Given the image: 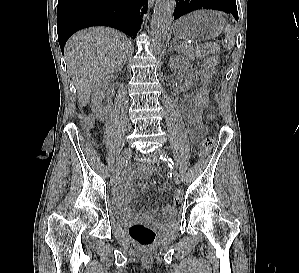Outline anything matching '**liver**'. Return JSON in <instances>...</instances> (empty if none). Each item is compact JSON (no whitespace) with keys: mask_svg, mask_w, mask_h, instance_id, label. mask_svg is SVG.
Segmentation results:
<instances>
[{"mask_svg":"<svg viewBox=\"0 0 299 273\" xmlns=\"http://www.w3.org/2000/svg\"><path fill=\"white\" fill-rule=\"evenodd\" d=\"M128 44L122 33L94 27L74 34L65 45V59L80 107L86 106L97 81L120 69Z\"/></svg>","mask_w":299,"mask_h":273,"instance_id":"liver-1","label":"liver"}]
</instances>
